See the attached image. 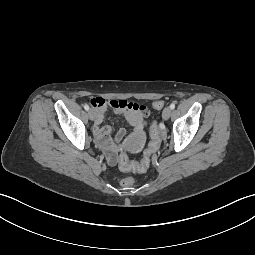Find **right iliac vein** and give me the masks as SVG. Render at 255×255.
I'll list each match as a JSON object with an SVG mask.
<instances>
[{
    "label": "right iliac vein",
    "mask_w": 255,
    "mask_h": 255,
    "mask_svg": "<svg viewBox=\"0 0 255 255\" xmlns=\"http://www.w3.org/2000/svg\"><path fill=\"white\" fill-rule=\"evenodd\" d=\"M88 116H89V119H90L91 121L94 120V118H95V112H94L93 109H90V110L88 111Z\"/></svg>",
    "instance_id": "1"
}]
</instances>
